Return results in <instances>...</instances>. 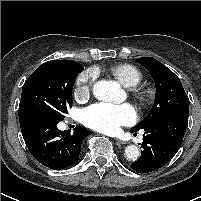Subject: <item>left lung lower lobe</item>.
<instances>
[{
    "label": "left lung lower lobe",
    "instance_id": "left-lung-lower-lobe-1",
    "mask_svg": "<svg viewBox=\"0 0 201 201\" xmlns=\"http://www.w3.org/2000/svg\"><path fill=\"white\" fill-rule=\"evenodd\" d=\"M187 125L188 116L169 115L144 127L143 151L131 168L139 173H148L168 163L178 152Z\"/></svg>",
    "mask_w": 201,
    "mask_h": 201
}]
</instances>
